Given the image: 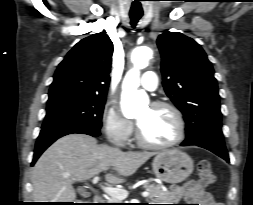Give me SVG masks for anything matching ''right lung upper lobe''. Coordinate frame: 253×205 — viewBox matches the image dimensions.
<instances>
[{"mask_svg":"<svg viewBox=\"0 0 253 205\" xmlns=\"http://www.w3.org/2000/svg\"><path fill=\"white\" fill-rule=\"evenodd\" d=\"M113 43L104 32L78 42L59 64L49 100L67 96L106 97Z\"/></svg>","mask_w":253,"mask_h":205,"instance_id":"obj_1","label":"right lung upper lobe"}]
</instances>
